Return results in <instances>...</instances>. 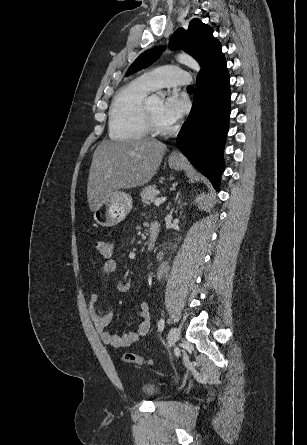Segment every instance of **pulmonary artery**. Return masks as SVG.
<instances>
[{"label":"pulmonary artery","mask_w":307,"mask_h":445,"mask_svg":"<svg viewBox=\"0 0 307 445\" xmlns=\"http://www.w3.org/2000/svg\"><path fill=\"white\" fill-rule=\"evenodd\" d=\"M143 79L153 87L162 85L190 84L192 78L186 69L176 66H165L163 69H148L143 72Z\"/></svg>","instance_id":"1"}]
</instances>
